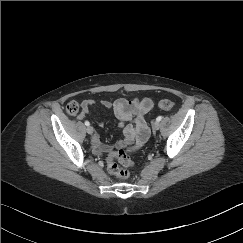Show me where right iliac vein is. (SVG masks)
<instances>
[{
  "instance_id": "right-iliac-vein-1",
  "label": "right iliac vein",
  "mask_w": 243,
  "mask_h": 243,
  "mask_svg": "<svg viewBox=\"0 0 243 243\" xmlns=\"http://www.w3.org/2000/svg\"><path fill=\"white\" fill-rule=\"evenodd\" d=\"M88 134H93L94 133V128L92 126H88L86 129Z\"/></svg>"
}]
</instances>
